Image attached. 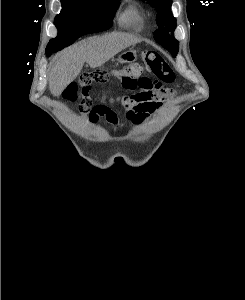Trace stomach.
<instances>
[{
	"instance_id": "1",
	"label": "stomach",
	"mask_w": 245,
	"mask_h": 300,
	"mask_svg": "<svg viewBox=\"0 0 245 300\" xmlns=\"http://www.w3.org/2000/svg\"><path fill=\"white\" fill-rule=\"evenodd\" d=\"M137 59L136 51L133 49H129L123 52L117 59L118 63H131Z\"/></svg>"
}]
</instances>
